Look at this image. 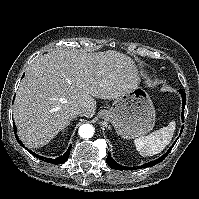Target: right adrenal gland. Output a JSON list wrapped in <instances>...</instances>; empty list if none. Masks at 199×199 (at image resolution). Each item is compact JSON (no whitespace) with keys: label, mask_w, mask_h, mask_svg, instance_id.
I'll return each mask as SVG.
<instances>
[{"label":"right adrenal gland","mask_w":199,"mask_h":199,"mask_svg":"<svg viewBox=\"0 0 199 199\" xmlns=\"http://www.w3.org/2000/svg\"><path fill=\"white\" fill-rule=\"evenodd\" d=\"M65 131V128L62 130V132H64Z\"/></svg>","instance_id":"obj_1"}]
</instances>
